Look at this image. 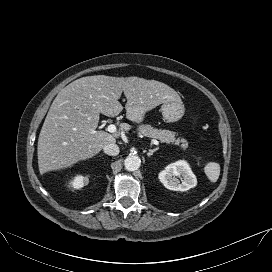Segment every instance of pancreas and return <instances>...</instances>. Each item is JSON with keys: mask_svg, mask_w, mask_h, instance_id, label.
I'll return each mask as SVG.
<instances>
[{"mask_svg": "<svg viewBox=\"0 0 272 272\" xmlns=\"http://www.w3.org/2000/svg\"><path fill=\"white\" fill-rule=\"evenodd\" d=\"M137 130L140 135L158 139L162 143L174 144L179 146L183 150L188 147L187 139L183 137H177V134L175 132L156 129L151 127L150 125H140Z\"/></svg>", "mask_w": 272, "mask_h": 272, "instance_id": "1", "label": "pancreas"}]
</instances>
